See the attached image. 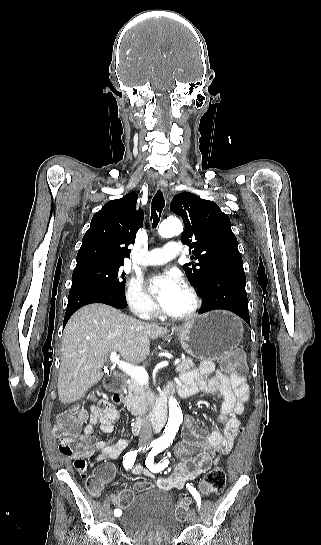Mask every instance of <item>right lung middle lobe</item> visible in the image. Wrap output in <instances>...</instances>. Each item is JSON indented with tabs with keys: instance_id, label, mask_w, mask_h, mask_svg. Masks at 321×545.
I'll use <instances>...</instances> for the list:
<instances>
[{
	"instance_id": "obj_1",
	"label": "right lung middle lobe",
	"mask_w": 321,
	"mask_h": 545,
	"mask_svg": "<svg viewBox=\"0 0 321 545\" xmlns=\"http://www.w3.org/2000/svg\"><path fill=\"white\" fill-rule=\"evenodd\" d=\"M119 265L96 264L75 268L72 274V286L92 285L125 294V272Z\"/></svg>"
}]
</instances>
